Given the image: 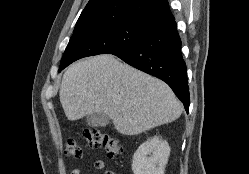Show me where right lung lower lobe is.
Listing matches in <instances>:
<instances>
[{"label":"right lung lower lobe","instance_id":"1","mask_svg":"<svg viewBox=\"0 0 249 174\" xmlns=\"http://www.w3.org/2000/svg\"><path fill=\"white\" fill-rule=\"evenodd\" d=\"M127 64L166 82L189 111L186 64L173 16L147 24L143 36L131 47L113 53Z\"/></svg>","mask_w":249,"mask_h":174}]
</instances>
